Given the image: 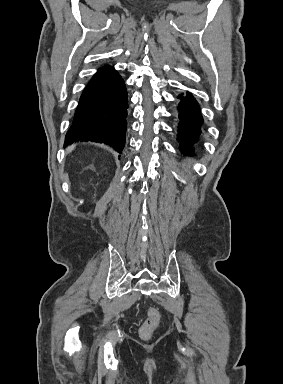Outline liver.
<instances>
[{
    "mask_svg": "<svg viewBox=\"0 0 283 384\" xmlns=\"http://www.w3.org/2000/svg\"><path fill=\"white\" fill-rule=\"evenodd\" d=\"M75 148H76V144H72V146H68L67 154H69V152H72V150H75Z\"/></svg>",
    "mask_w": 283,
    "mask_h": 384,
    "instance_id": "obj_1",
    "label": "liver"
}]
</instances>
